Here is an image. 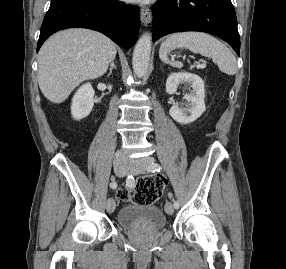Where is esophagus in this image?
<instances>
[{
	"instance_id": "obj_1",
	"label": "esophagus",
	"mask_w": 286,
	"mask_h": 269,
	"mask_svg": "<svg viewBox=\"0 0 286 269\" xmlns=\"http://www.w3.org/2000/svg\"><path fill=\"white\" fill-rule=\"evenodd\" d=\"M141 22L144 26H149L152 21V13L148 7H142L140 11Z\"/></svg>"
}]
</instances>
